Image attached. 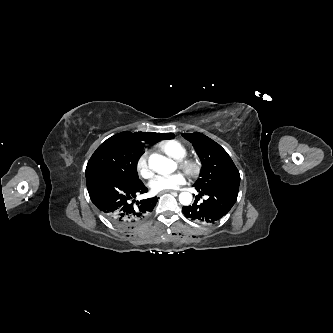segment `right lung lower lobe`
Returning <instances> with one entry per match:
<instances>
[{
    "label": "right lung lower lobe",
    "instance_id": "98d812e1",
    "mask_svg": "<svg viewBox=\"0 0 333 333\" xmlns=\"http://www.w3.org/2000/svg\"><path fill=\"white\" fill-rule=\"evenodd\" d=\"M86 183L93 204L121 228L131 227L149 216L158 200L153 197L136 201L137 195L148 191L142 181L133 182L104 171L86 174Z\"/></svg>",
    "mask_w": 333,
    "mask_h": 333
}]
</instances>
